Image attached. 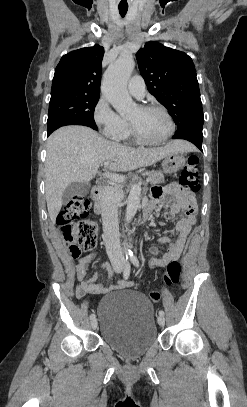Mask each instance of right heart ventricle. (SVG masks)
<instances>
[{
	"mask_svg": "<svg viewBox=\"0 0 247 407\" xmlns=\"http://www.w3.org/2000/svg\"><path fill=\"white\" fill-rule=\"evenodd\" d=\"M132 136L130 134L129 128L128 126L126 127L124 133L122 134V136L119 138V140H124V141H128L131 140Z\"/></svg>",
	"mask_w": 247,
	"mask_h": 407,
	"instance_id": "1",
	"label": "right heart ventricle"
}]
</instances>
